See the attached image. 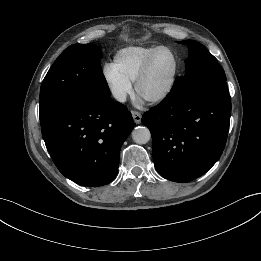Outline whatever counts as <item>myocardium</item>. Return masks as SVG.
Instances as JSON below:
<instances>
[{"mask_svg":"<svg viewBox=\"0 0 261 261\" xmlns=\"http://www.w3.org/2000/svg\"><path fill=\"white\" fill-rule=\"evenodd\" d=\"M163 50H166L172 54L173 59H174V68H173V72L170 77V80H169L168 84L164 87V89H162L159 93H157L155 95L143 97L146 101H148L152 104L161 103L164 100H166L169 97V95L172 93V91L175 87L177 77H178V72H179V59H178V56L175 53V51L168 46H159L147 58V60L145 61L144 65L142 66L140 72L138 73V75L134 81L135 91L138 95L141 96L140 87H141L142 83L144 82V80L146 79V77L148 76L151 64H152L155 56L160 51H163Z\"/></svg>","mask_w":261,"mask_h":261,"instance_id":"1","label":"myocardium"}]
</instances>
